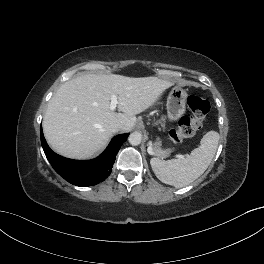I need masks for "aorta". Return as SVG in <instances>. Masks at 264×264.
I'll list each match as a JSON object with an SVG mask.
<instances>
[{"mask_svg": "<svg viewBox=\"0 0 264 264\" xmlns=\"http://www.w3.org/2000/svg\"><path fill=\"white\" fill-rule=\"evenodd\" d=\"M128 140L129 143L133 146L139 145L142 141V134L138 131H135L130 134Z\"/></svg>", "mask_w": 264, "mask_h": 264, "instance_id": "762f6f07", "label": "aorta"}]
</instances>
